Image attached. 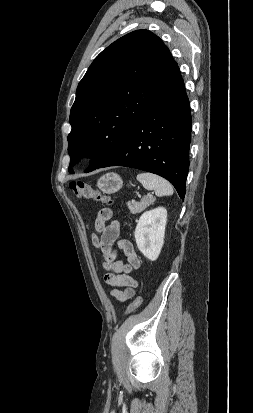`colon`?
<instances>
[{
  "label": "colon",
  "mask_w": 253,
  "mask_h": 413,
  "mask_svg": "<svg viewBox=\"0 0 253 413\" xmlns=\"http://www.w3.org/2000/svg\"><path fill=\"white\" fill-rule=\"evenodd\" d=\"M71 191L75 194L76 197L81 199H93L98 202L105 203L107 205H112V199L99 191L97 188L83 182V181H72L69 184ZM142 304V298L137 296L128 306L126 310V315L132 314L135 312L140 305Z\"/></svg>",
  "instance_id": "obj_1"
}]
</instances>
